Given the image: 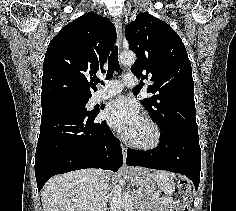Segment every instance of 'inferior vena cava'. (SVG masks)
Wrapping results in <instances>:
<instances>
[{
    "label": "inferior vena cava",
    "instance_id": "602c4592",
    "mask_svg": "<svg viewBox=\"0 0 236 211\" xmlns=\"http://www.w3.org/2000/svg\"><path fill=\"white\" fill-rule=\"evenodd\" d=\"M108 177L102 170H97L96 185L91 195V211H107Z\"/></svg>",
    "mask_w": 236,
    "mask_h": 211
}]
</instances>
